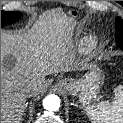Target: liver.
<instances>
[{"label": "liver", "mask_w": 123, "mask_h": 123, "mask_svg": "<svg viewBox=\"0 0 123 123\" xmlns=\"http://www.w3.org/2000/svg\"><path fill=\"white\" fill-rule=\"evenodd\" d=\"M72 18L60 11L43 15L18 33L1 31V123H21L27 99L23 88L44 87L45 76L77 68L69 51Z\"/></svg>", "instance_id": "1"}]
</instances>
